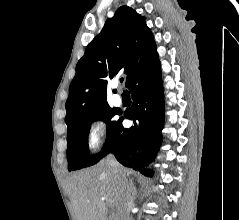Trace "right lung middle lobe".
Listing matches in <instances>:
<instances>
[{
  "label": "right lung middle lobe",
  "instance_id": "obj_1",
  "mask_svg": "<svg viewBox=\"0 0 239 220\" xmlns=\"http://www.w3.org/2000/svg\"><path fill=\"white\" fill-rule=\"evenodd\" d=\"M115 114V110L107 105L81 116L70 127H68L67 159L69 171L89 167L100 160L103 151L111 140L113 130L117 125L116 121H111ZM97 120H102L107 124V139L102 151L97 156H90L86 152L89 150L88 128L93 121Z\"/></svg>",
  "mask_w": 239,
  "mask_h": 220
}]
</instances>
